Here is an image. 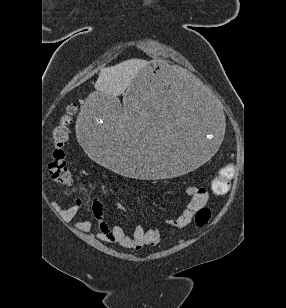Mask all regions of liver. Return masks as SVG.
Listing matches in <instances>:
<instances>
[{
    "label": "liver",
    "instance_id": "6515ba94",
    "mask_svg": "<svg viewBox=\"0 0 286 308\" xmlns=\"http://www.w3.org/2000/svg\"><path fill=\"white\" fill-rule=\"evenodd\" d=\"M147 62L140 59H130L115 66L102 68L95 83L96 90L105 97L115 99L130 86L137 73L145 67ZM127 115V112L124 111ZM122 124L125 116L121 117Z\"/></svg>",
    "mask_w": 286,
    "mask_h": 308
}]
</instances>
